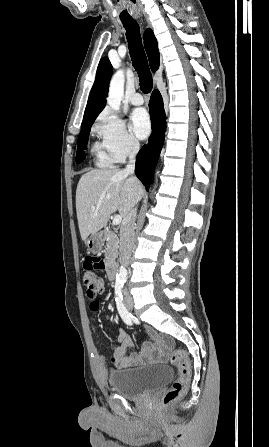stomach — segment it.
Here are the masks:
<instances>
[{
	"mask_svg": "<svg viewBox=\"0 0 269 447\" xmlns=\"http://www.w3.org/2000/svg\"><path fill=\"white\" fill-rule=\"evenodd\" d=\"M86 245L89 251L92 253H99L104 245V235L103 231H99V233H94L92 237H89L86 241Z\"/></svg>",
	"mask_w": 269,
	"mask_h": 447,
	"instance_id": "1",
	"label": "stomach"
}]
</instances>
